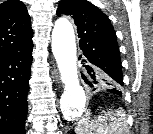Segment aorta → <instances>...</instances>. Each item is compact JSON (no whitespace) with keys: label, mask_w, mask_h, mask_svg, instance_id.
<instances>
[{"label":"aorta","mask_w":153,"mask_h":134,"mask_svg":"<svg viewBox=\"0 0 153 134\" xmlns=\"http://www.w3.org/2000/svg\"><path fill=\"white\" fill-rule=\"evenodd\" d=\"M52 52L58 64L64 92L60 108L67 121H74L84 112L86 95L79 83L74 29L66 19L55 22L52 31Z\"/></svg>","instance_id":"obj_1"}]
</instances>
